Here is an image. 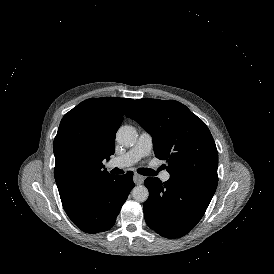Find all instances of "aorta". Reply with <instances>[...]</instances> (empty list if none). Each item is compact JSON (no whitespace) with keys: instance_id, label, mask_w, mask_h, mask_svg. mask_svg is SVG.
<instances>
[{"instance_id":"aorta-1","label":"aorta","mask_w":274,"mask_h":274,"mask_svg":"<svg viewBox=\"0 0 274 274\" xmlns=\"http://www.w3.org/2000/svg\"><path fill=\"white\" fill-rule=\"evenodd\" d=\"M137 131L132 126H121L116 134V140L117 142L122 146H133L137 141ZM132 197L134 200L138 202H145L149 197V191L148 189L143 186L139 185L132 189Z\"/></svg>"}]
</instances>
